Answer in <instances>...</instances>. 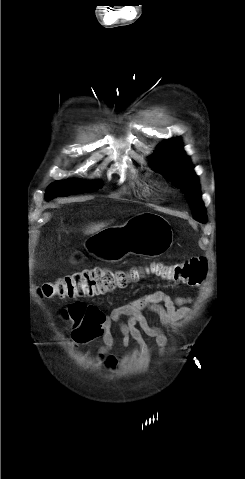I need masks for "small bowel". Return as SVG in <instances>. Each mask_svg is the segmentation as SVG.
<instances>
[{"mask_svg": "<svg viewBox=\"0 0 245 479\" xmlns=\"http://www.w3.org/2000/svg\"><path fill=\"white\" fill-rule=\"evenodd\" d=\"M192 301L191 297H171L162 291H155L118 306L108 314L102 312L96 305L86 304V333L92 337L101 338L104 343L103 350L107 351L114 345L115 339L111 328L116 325L121 334L123 347H128L131 341H134L140 353L146 355L149 345L145 335L154 339L159 354L163 355L166 352L167 338L160 328L149 323L144 312L153 313L162 326L169 328L190 316L188 305ZM105 364L108 368H112L115 365V359L109 357Z\"/></svg>", "mask_w": 245, "mask_h": 479, "instance_id": "c3829d8e", "label": "small bowel"}]
</instances>
